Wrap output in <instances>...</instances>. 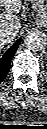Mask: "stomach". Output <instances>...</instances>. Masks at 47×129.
<instances>
[{
    "instance_id": "1",
    "label": "stomach",
    "mask_w": 47,
    "mask_h": 129,
    "mask_svg": "<svg viewBox=\"0 0 47 129\" xmlns=\"http://www.w3.org/2000/svg\"><path fill=\"white\" fill-rule=\"evenodd\" d=\"M36 12V24L47 28V0H31Z\"/></svg>"
}]
</instances>
